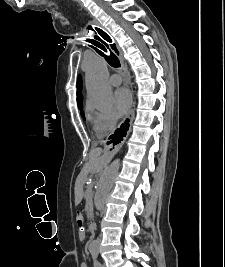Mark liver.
Instances as JSON below:
<instances>
[{"instance_id":"obj_1","label":"liver","mask_w":225,"mask_h":267,"mask_svg":"<svg viewBox=\"0 0 225 267\" xmlns=\"http://www.w3.org/2000/svg\"><path fill=\"white\" fill-rule=\"evenodd\" d=\"M102 150L100 148H94L90 152L89 162L84 166L81 172V177L86 176L87 173L93 169H96L104 163V158L101 157ZM83 197L82 187L77 185L75 188V204L78 205Z\"/></svg>"}]
</instances>
